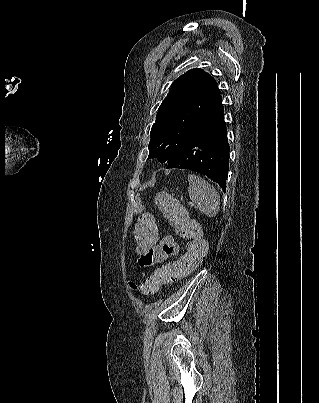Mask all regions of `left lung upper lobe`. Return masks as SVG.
I'll list each match as a JSON object with an SVG mask.
<instances>
[{
  "mask_svg": "<svg viewBox=\"0 0 319 403\" xmlns=\"http://www.w3.org/2000/svg\"><path fill=\"white\" fill-rule=\"evenodd\" d=\"M220 95L216 81L201 69L176 79L160 105L150 132L149 156L168 163L187 140L191 129Z\"/></svg>",
  "mask_w": 319,
  "mask_h": 403,
  "instance_id": "left-lung-upper-lobe-1",
  "label": "left lung upper lobe"
}]
</instances>
